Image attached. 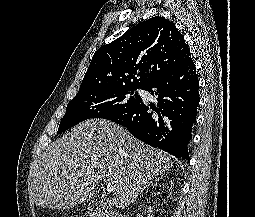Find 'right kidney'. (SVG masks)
Instances as JSON below:
<instances>
[{
  "mask_svg": "<svg viewBox=\"0 0 255 217\" xmlns=\"http://www.w3.org/2000/svg\"><path fill=\"white\" fill-rule=\"evenodd\" d=\"M148 212H149L148 217H153V216L151 215V213H152V207H151V206L148 208Z\"/></svg>",
  "mask_w": 255,
  "mask_h": 217,
  "instance_id": "obj_1",
  "label": "right kidney"
}]
</instances>
